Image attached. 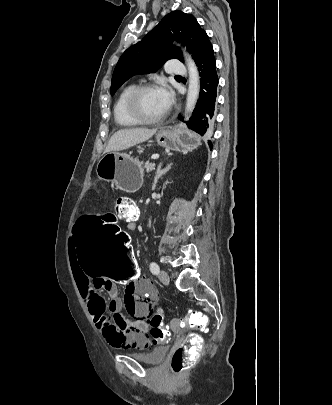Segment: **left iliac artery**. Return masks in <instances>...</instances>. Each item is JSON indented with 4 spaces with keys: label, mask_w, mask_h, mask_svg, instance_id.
<instances>
[{
    "label": "left iliac artery",
    "mask_w": 332,
    "mask_h": 405,
    "mask_svg": "<svg viewBox=\"0 0 332 405\" xmlns=\"http://www.w3.org/2000/svg\"><path fill=\"white\" fill-rule=\"evenodd\" d=\"M159 265L156 262H151L150 263V271L154 274L157 275L159 273Z\"/></svg>",
    "instance_id": "1"
}]
</instances>
